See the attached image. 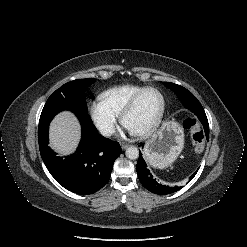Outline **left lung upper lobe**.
Listing matches in <instances>:
<instances>
[{
	"label": "left lung upper lobe",
	"instance_id": "left-lung-upper-lobe-1",
	"mask_svg": "<svg viewBox=\"0 0 247 247\" xmlns=\"http://www.w3.org/2000/svg\"><path fill=\"white\" fill-rule=\"evenodd\" d=\"M163 84L171 89L178 96L183 105L199 119L207 118L202 105L189 90L171 82H164Z\"/></svg>",
	"mask_w": 247,
	"mask_h": 247
}]
</instances>
